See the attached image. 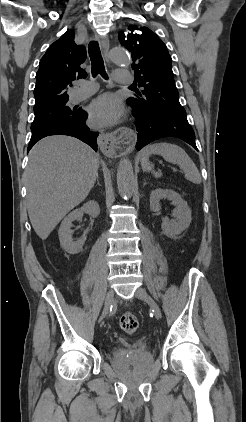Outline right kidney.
Instances as JSON below:
<instances>
[{
  "label": "right kidney",
  "instance_id": "obj_1",
  "mask_svg": "<svg viewBox=\"0 0 246 422\" xmlns=\"http://www.w3.org/2000/svg\"><path fill=\"white\" fill-rule=\"evenodd\" d=\"M84 212L88 213L91 217H98L100 214L99 204L94 200L88 201L81 208L76 209L68 214V216L64 218L60 225L58 231L60 244L62 248L69 254L79 253L83 249L84 243L86 241L87 232H85V235L77 241H73L71 235L72 222L75 220H81Z\"/></svg>",
  "mask_w": 246,
  "mask_h": 422
}]
</instances>
